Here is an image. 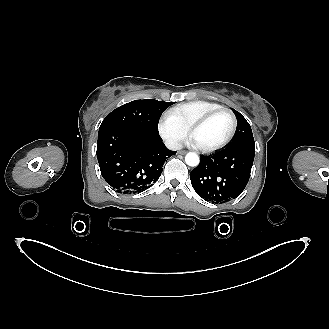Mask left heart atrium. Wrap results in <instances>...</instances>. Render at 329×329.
Listing matches in <instances>:
<instances>
[{
    "label": "left heart atrium",
    "mask_w": 329,
    "mask_h": 329,
    "mask_svg": "<svg viewBox=\"0 0 329 329\" xmlns=\"http://www.w3.org/2000/svg\"><path fill=\"white\" fill-rule=\"evenodd\" d=\"M190 144L197 146L196 142L192 138L190 139Z\"/></svg>",
    "instance_id": "left-heart-atrium-1"
}]
</instances>
